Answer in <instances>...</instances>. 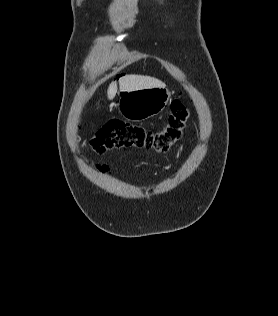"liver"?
Returning <instances> with one entry per match:
<instances>
[{
  "label": "liver",
  "mask_w": 278,
  "mask_h": 316,
  "mask_svg": "<svg viewBox=\"0 0 278 316\" xmlns=\"http://www.w3.org/2000/svg\"><path fill=\"white\" fill-rule=\"evenodd\" d=\"M165 87L160 80L142 75H125L119 79V89L121 92H129L146 88ZM117 93V84L112 82L107 90L109 100H112Z\"/></svg>",
  "instance_id": "6515ba94"
}]
</instances>
